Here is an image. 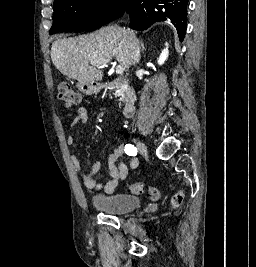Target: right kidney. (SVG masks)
Masks as SVG:
<instances>
[{
  "label": "right kidney",
  "mask_w": 256,
  "mask_h": 267,
  "mask_svg": "<svg viewBox=\"0 0 256 267\" xmlns=\"http://www.w3.org/2000/svg\"><path fill=\"white\" fill-rule=\"evenodd\" d=\"M166 48L161 52L159 58H158V64L159 66H162L164 64L165 60L168 58V44H165Z\"/></svg>",
  "instance_id": "ca27d5eb"
}]
</instances>
